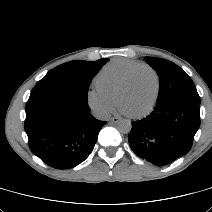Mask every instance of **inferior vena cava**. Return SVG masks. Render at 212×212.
Returning a JSON list of instances; mask_svg holds the SVG:
<instances>
[{
    "label": "inferior vena cava",
    "mask_w": 212,
    "mask_h": 212,
    "mask_svg": "<svg viewBox=\"0 0 212 212\" xmlns=\"http://www.w3.org/2000/svg\"><path fill=\"white\" fill-rule=\"evenodd\" d=\"M94 116L99 120H108L110 118L109 112L105 110H95Z\"/></svg>",
    "instance_id": "602c4592"
}]
</instances>
